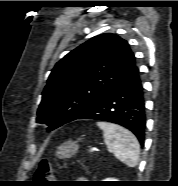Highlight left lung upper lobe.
<instances>
[{"mask_svg":"<svg viewBox=\"0 0 178 186\" xmlns=\"http://www.w3.org/2000/svg\"><path fill=\"white\" fill-rule=\"evenodd\" d=\"M138 70L129 44L111 33L95 36L53 68L37 122L55 129L75 119Z\"/></svg>","mask_w":178,"mask_h":186,"instance_id":"5c2ea615","label":"left lung upper lobe"}]
</instances>
